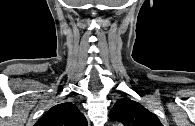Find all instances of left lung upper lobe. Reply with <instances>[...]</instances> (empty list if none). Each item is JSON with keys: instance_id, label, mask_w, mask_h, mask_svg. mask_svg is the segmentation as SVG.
I'll list each match as a JSON object with an SVG mask.
<instances>
[{"instance_id": "5c2ea615", "label": "left lung upper lobe", "mask_w": 195, "mask_h": 126, "mask_svg": "<svg viewBox=\"0 0 195 126\" xmlns=\"http://www.w3.org/2000/svg\"><path fill=\"white\" fill-rule=\"evenodd\" d=\"M110 119L124 126H162L159 119L140 103L126 97L119 99L110 114Z\"/></svg>"}]
</instances>
